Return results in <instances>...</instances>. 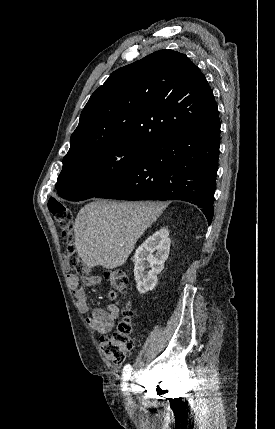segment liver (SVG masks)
Returning <instances> with one entry per match:
<instances>
[{
    "instance_id": "6515ba94",
    "label": "liver",
    "mask_w": 275,
    "mask_h": 429,
    "mask_svg": "<svg viewBox=\"0 0 275 429\" xmlns=\"http://www.w3.org/2000/svg\"><path fill=\"white\" fill-rule=\"evenodd\" d=\"M162 202L96 200L86 204L75 219V247L89 267L122 266L137 240L160 216Z\"/></svg>"
}]
</instances>
